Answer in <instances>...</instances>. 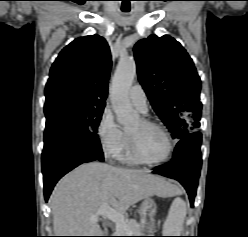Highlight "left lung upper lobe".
I'll return each instance as SVG.
<instances>
[{
  "label": "left lung upper lobe",
  "instance_id": "5c2ea615",
  "mask_svg": "<svg viewBox=\"0 0 248 237\" xmlns=\"http://www.w3.org/2000/svg\"><path fill=\"white\" fill-rule=\"evenodd\" d=\"M138 78L172 134L183 139L200 126L201 80L186 50L174 38L150 35L134 47Z\"/></svg>",
  "mask_w": 248,
  "mask_h": 237
}]
</instances>
